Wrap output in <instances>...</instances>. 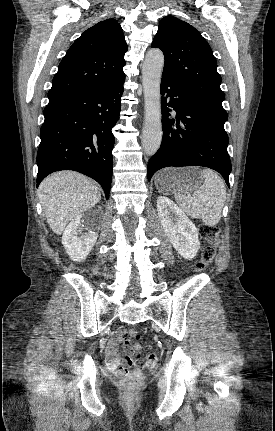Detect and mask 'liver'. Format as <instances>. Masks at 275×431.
I'll return each instance as SVG.
<instances>
[{
    "instance_id": "6515ba94",
    "label": "liver",
    "mask_w": 275,
    "mask_h": 431,
    "mask_svg": "<svg viewBox=\"0 0 275 431\" xmlns=\"http://www.w3.org/2000/svg\"><path fill=\"white\" fill-rule=\"evenodd\" d=\"M100 188L90 178L73 171L46 177L39 186V200L52 231L60 235L69 221L95 206Z\"/></svg>"
}]
</instances>
